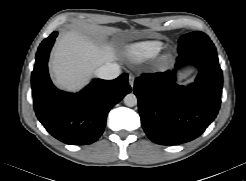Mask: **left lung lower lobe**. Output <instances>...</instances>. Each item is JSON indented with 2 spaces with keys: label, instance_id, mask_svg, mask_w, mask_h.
<instances>
[{
  "label": "left lung lower lobe",
  "instance_id": "left-lung-lower-lobe-1",
  "mask_svg": "<svg viewBox=\"0 0 246 181\" xmlns=\"http://www.w3.org/2000/svg\"><path fill=\"white\" fill-rule=\"evenodd\" d=\"M178 52L176 67L194 63L199 68L193 84L178 86L175 71H167L144 74L134 85L142 126L160 145H178L200 136L215 119L221 103L223 76L212 41Z\"/></svg>",
  "mask_w": 246,
  "mask_h": 181
}]
</instances>
